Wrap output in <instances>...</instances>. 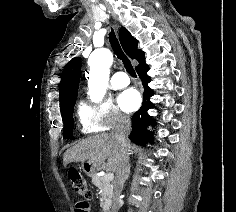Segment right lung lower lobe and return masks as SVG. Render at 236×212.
Masks as SVG:
<instances>
[{
    "label": "right lung lower lobe",
    "mask_w": 236,
    "mask_h": 212,
    "mask_svg": "<svg viewBox=\"0 0 236 212\" xmlns=\"http://www.w3.org/2000/svg\"><path fill=\"white\" fill-rule=\"evenodd\" d=\"M149 66L142 60L136 67V71L142 81L144 87L143 104L141 108L132 117V132L130 139L138 145H145L148 141L152 143L153 136L147 130L149 125H154L155 120L148 115V110L153 108L154 105L150 101V97L154 94L153 90L148 87L151 78L147 75Z\"/></svg>",
    "instance_id": "1"
}]
</instances>
